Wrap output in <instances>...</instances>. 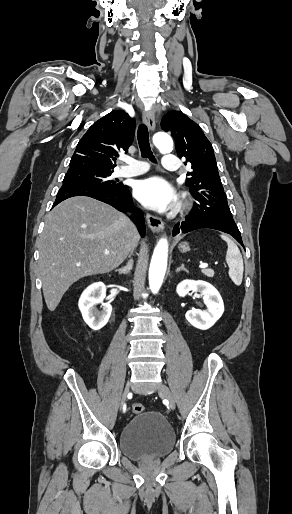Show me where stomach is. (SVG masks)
<instances>
[{
  "label": "stomach",
  "mask_w": 292,
  "mask_h": 514,
  "mask_svg": "<svg viewBox=\"0 0 292 514\" xmlns=\"http://www.w3.org/2000/svg\"><path fill=\"white\" fill-rule=\"evenodd\" d=\"M179 250H181V252H189V244H187V242L179 244Z\"/></svg>",
  "instance_id": "stomach-1"
}]
</instances>
